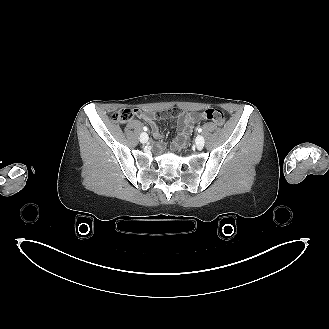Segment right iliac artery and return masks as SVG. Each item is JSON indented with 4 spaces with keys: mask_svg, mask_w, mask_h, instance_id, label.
I'll use <instances>...</instances> for the list:
<instances>
[{
    "mask_svg": "<svg viewBox=\"0 0 329 329\" xmlns=\"http://www.w3.org/2000/svg\"><path fill=\"white\" fill-rule=\"evenodd\" d=\"M143 130H144V131H147V130H148V128H147L146 126H144V127H143Z\"/></svg>",
    "mask_w": 329,
    "mask_h": 329,
    "instance_id": "obj_1",
    "label": "right iliac artery"
}]
</instances>
